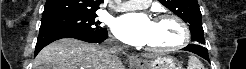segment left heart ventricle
Listing matches in <instances>:
<instances>
[{
    "label": "left heart ventricle",
    "instance_id": "b2bd125f",
    "mask_svg": "<svg viewBox=\"0 0 246 69\" xmlns=\"http://www.w3.org/2000/svg\"><path fill=\"white\" fill-rule=\"evenodd\" d=\"M180 38V29L174 22L170 20L153 21L146 45L153 47L171 46Z\"/></svg>",
    "mask_w": 246,
    "mask_h": 69
}]
</instances>
